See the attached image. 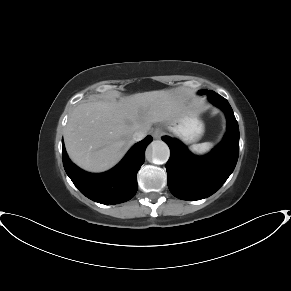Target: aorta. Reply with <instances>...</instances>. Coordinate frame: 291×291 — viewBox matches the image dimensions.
Wrapping results in <instances>:
<instances>
[{
	"label": "aorta",
	"mask_w": 291,
	"mask_h": 291,
	"mask_svg": "<svg viewBox=\"0 0 291 291\" xmlns=\"http://www.w3.org/2000/svg\"><path fill=\"white\" fill-rule=\"evenodd\" d=\"M149 153L153 163L164 164L170 157V149L162 140H155L149 146Z\"/></svg>",
	"instance_id": "762f6f07"
}]
</instances>
